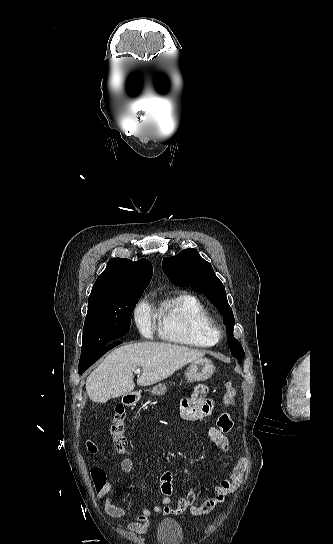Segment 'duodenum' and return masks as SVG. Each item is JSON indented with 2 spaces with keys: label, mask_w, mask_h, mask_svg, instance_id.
Instances as JSON below:
<instances>
[{
  "label": "duodenum",
  "mask_w": 333,
  "mask_h": 544,
  "mask_svg": "<svg viewBox=\"0 0 333 544\" xmlns=\"http://www.w3.org/2000/svg\"><path fill=\"white\" fill-rule=\"evenodd\" d=\"M134 402H135L134 396H132V395H126V396H125V398H124V403H125L126 405H129V406H130V405H133Z\"/></svg>",
  "instance_id": "410a0bca"
}]
</instances>
